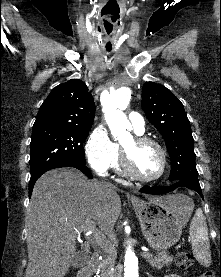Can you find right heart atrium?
Listing matches in <instances>:
<instances>
[{
	"label": "right heart atrium",
	"mask_w": 221,
	"mask_h": 277,
	"mask_svg": "<svg viewBox=\"0 0 221 277\" xmlns=\"http://www.w3.org/2000/svg\"><path fill=\"white\" fill-rule=\"evenodd\" d=\"M116 151V144L107 129L102 125L95 127L85 144L86 159L92 170L98 175L108 174L114 164Z\"/></svg>",
	"instance_id": "right-heart-atrium-1"
}]
</instances>
